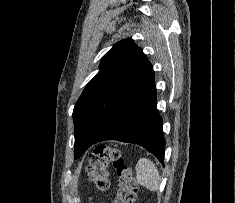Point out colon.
Returning <instances> with one entry per match:
<instances>
[{
  "instance_id": "obj_1",
  "label": "colon",
  "mask_w": 235,
  "mask_h": 203,
  "mask_svg": "<svg viewBox=\"0 0 235 203\" xmlns=\"http://www.w3.org/2000/svg\"><path fill=\"white\" fill-rule=\"evenodd\" d=\"M116 169V192L112 203H134L137 196V183L119 150L108 145H100L89 156L86 176L96 187L107 190L109 187V166Z\"/></svg>"
}]
</instances>
